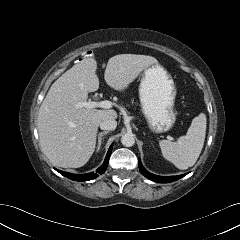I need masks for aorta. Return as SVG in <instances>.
Listing matches in <instances>:
<instances>
[{"instance_id":"1","label":"aorta","mask_w":240,"mask_h":240,"mask_svg":"<svg viewBox=\"0 0 240 240\" xmlns=\"http://www.w3.org/2000/svg\"><path fill=\"white\" fill-rule=\"evenodd\" d=\"M121 143L125 147H132L135 144V139L132 134H124L121 137Z\"/></svg>"}]
</instances>
